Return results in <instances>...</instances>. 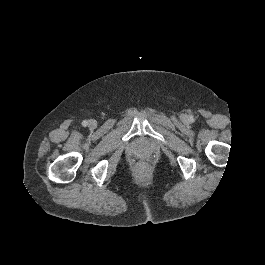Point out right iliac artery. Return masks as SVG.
I'll use <instances>...</instances> for the list:
<instances>
[{
	"mask_svg": "<svg viewBox=\"0 0 265 265\" xmlns=\"http://www.w3.org/2000/svg\"><path fill=\"white\" fill-rule=\"evenodd\" d=\"M87 124H88V122H87L86 120H84V121L82 122V125H83L84 127H86Z\"/></svg>",
	"mask_w": 265,
	"mask_h": 265,
	"instance_id": "1",
	"label": "right iliac artery"
}]
</instances>
